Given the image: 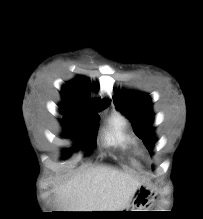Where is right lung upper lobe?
<instances>
[{
    "label": "right lung upper lobe",
    "instance_id": "cb5924a9",
    "mask_svg": "<svg viewBox=\"0 0 203 219\" xmlns=\"http://www.w3.org/2000/svg\"><path fill=\"white\" fill-rule=\"evenodd\" d=\"M68 87L70 90L69 92L67 91ZM90 89L91 83L89 80L84 77H77L70 83H67V87H63L61 95L63 96L65 102L83 105L93 112L103 110L110 104V100H91L89 97Z\"/></svg>",
    "mask_w": 203,
    "mask_h": 219
}]
</instances>
